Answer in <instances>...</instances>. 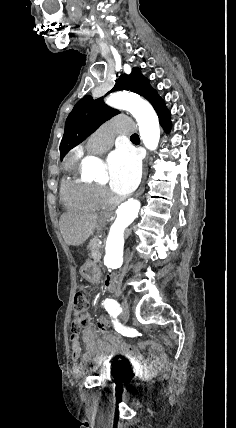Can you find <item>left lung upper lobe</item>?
<instances>
[{"mask_svg":"<svg viewBox=\"0 0 236 428\" xmlns=\"http://www.w3.org/2000/svg\"><path fill=\"white\" fill-rule=\"evenodd\" d=\"M117 90H130L143 96L156 111L165 106L162 98L150 86L148 79L141 74L138 67H134L130 75L122 74L107 94ZM118 113V110L106 106L102 98L94 100L87 95L79 100L66 120L64 136L60 143L61 160L102 123Z\"/></svg>","mask_w":236,"mask_h":428,"instance_id":"5c2ea615","label":"left lung upper lobe"}]
</instances>
